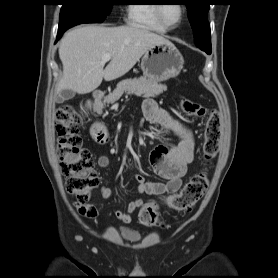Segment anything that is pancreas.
Masks as SVG:
<instances>
[{
    "mask_svg": "<svg viewBox=\"0 0 278 278\" xmlns=\"http://www.w3.org/2000/svg\"><path fill=\"white\" fill-rule=\"evenodd\" d=\"M166 90V86L148 78L126 79L117 84L116 89L106 96L104 103H114L124 93L145 98L156 97Z\"/></svg>",
    "mask_w": 278,
    "mask_h": 278,
    "instance_id": "cf45deb5",
    "label": "pancreas"
}]
</instances>
